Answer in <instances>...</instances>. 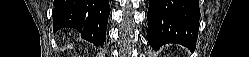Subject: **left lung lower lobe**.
Instances as JSON below:
<instances>
[{
  "label": "left lung lower lobe",
  "mask_w": 249,
  "mask_h": 57,
  "mask_svg": "<svg viewBox=\"0 0 249 57\" xmlns=\"http://www.w3.org/2000/svg\"><path fill=\"white\" fill-rule=\"evenodd\" d=\"M148 42L155 50L178 43L194 50L198 36L199 0H149Z\"/></svg>",
  "instance_id": "1"
}]
</instances>
